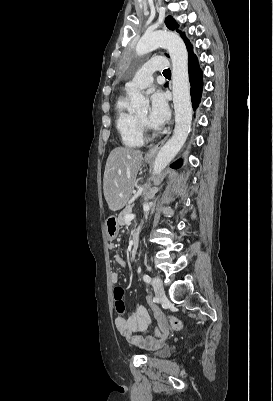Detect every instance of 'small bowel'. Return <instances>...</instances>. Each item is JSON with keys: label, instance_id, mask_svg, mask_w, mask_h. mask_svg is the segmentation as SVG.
Returning a JSON list of instances; mask_svg holds the SVG:
<instances>
[{"label": "small bowel", "instance_id": "obj_1", "mask_svg": "<svg viewBox=\"0 0 273 401\" xmlns=\"http://www.w3.org/2000/svg\"><path fill=\"white\" fill-rule=\"evenodd\" d=\"M125 259L117 254L113 259V264L120 268L125 265ZM111 281L114 285L119 282V274L117 271L112 272ZM152 316L154 318H159L157 320L158 328L154 329L153 332H149L148 334H144L142 336H133L134 334L144 333L146 332L151 324V316L147 308L143 305H136L133 311L127 317H117L114 320V325L116 330L126 338V343L128 345H142L149 349L158 348L167 338L169 334L172 333L171 327H163L161 325L167 324V319L164 317H168V312H160L158 305L152 306ZM172 315V314H171ZM163 317V318H160ZM173 327L175 328V332L177 334H182L186 332L188 324L185 319L173 318L172 319ZM184 327V328H183ZM144 338V339H143Z\"/></svg>", "mask_w": 273, "mask_h": 401}]
</instances>
